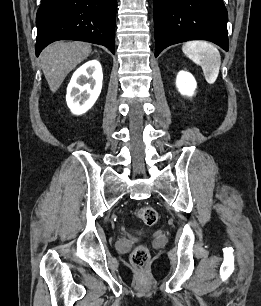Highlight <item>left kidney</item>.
<instances>
[{"mask_svg":"<svg viewBox=\"0 0 261 306\" xmlns=\"http://www.w3.org/2000/svg\"><path fill=\"white\" fill-rule=\"evenodd\" d=\"M176 87L181 95L191 97L197 87L193 75L186 71H180L176 77Z\"/></svg>","mask_w":261,"mask_h":306,"instance_id":"1","label":"left kidney"}]
</instances>
